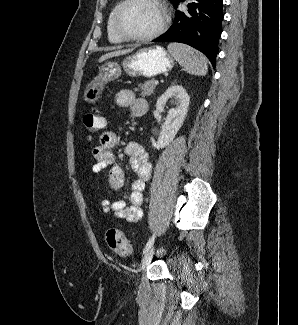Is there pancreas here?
Masks as SVG:
<instances>
[{"mask_svg":"<svg viewBox=\"0 0 298 325\" xmlns=\"http://www.w3.org/2000/svg\"><path fill=\"white\" fill-rule=\"evenodd\" d=\"M156 84L154 80H144V82H139L137 88H133L134 92H139L141 96H150L155 92Z\"/></svg>","mask_w":298,"mask_h":325,"instance_id":"pancreas-1","label":"pancreas"}]
</instances>
